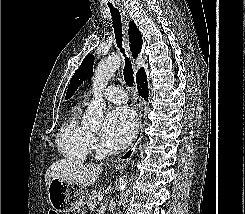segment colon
<instances>
[{"mask_svg":"<svg viewBox=\"0 0 245 214\" xmlns=\"http://www.w3.org/2000/svg\"><path fill=\"white\" fill-rule=\"evenodd\" d=\"M50 214H57L56 212H54V211H52V212H50Z\"/></svg>","mask_w":245,"mask_h":214,"instance_id":"colon-1","label":"colon"}]
</instances>
